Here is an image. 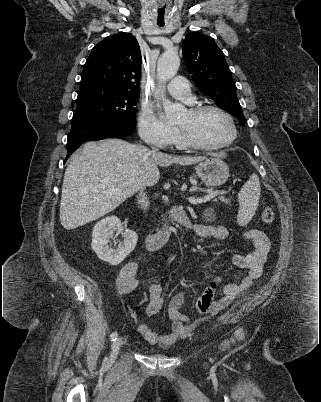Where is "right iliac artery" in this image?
<instances>
[{"label": "right iliac artery", "mask_w": 321, "mask_h": 402, "mask_svg": "<svg viewBox=\"0 0 321 402\" xmlns=\"http://www.w3.org/2000/svg\"><path fill=\"white\" fill-rule=\"evenodd\" d=\"M117 336H118L117 332H113V333L110 335L111 341L116 340Z\"/></svg>", "instance_id": "right-iliac-artery-1"}]
</instances>
